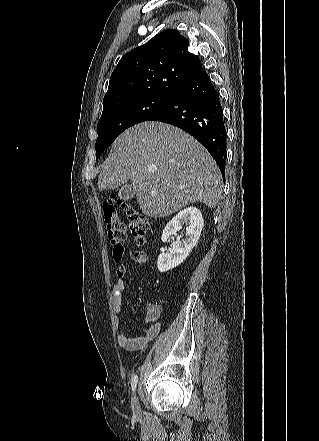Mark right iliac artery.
Segmentation results:
<instances>
[{
    "label": "right iliac artery",
    "mask_w": 319,
    "mask_h": 441,
    "mask_svg": "<svg viewBox=\"0 0 319 441\" xmlns=\"http://www.w3.org/2000/svg\"><path fill=\"white\" fill-rule=\"evenodd\" d=\"M137 382H138V377L137 375H134L131 380V388L133 392L136 390Z\"/></svg>",
    "instance_id": "right-iliac-artery-1"
}]
</instances>
